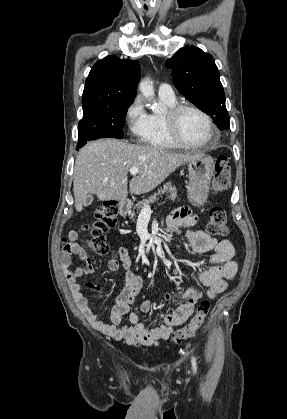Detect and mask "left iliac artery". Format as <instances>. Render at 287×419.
Returning <instances> with one entry per match:
<instances>
[{"label":"left iliac artery","instance_id":"44dca946","mask_svg":"<svg viewBox=\"0 0 287 419\" xmlns=\"http://www.w3.org/2000/svg\"><path fill=\"white\" fill-rule=\"evenodd\" d=\"M192 368L194 370V373H196L197 365H196V359H195V357H192Z\"/></svg>","mask_w":287,"mask_h":419}]
</instances>
